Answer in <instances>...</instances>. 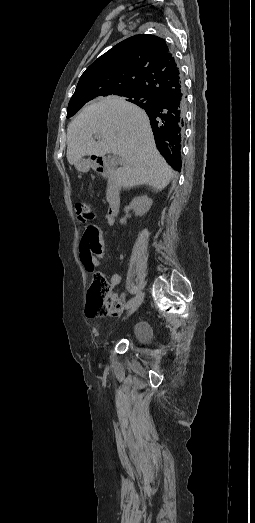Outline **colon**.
Listing matches in <instances>:
<instances>
[{"instance_id": "obj_1", "label": "colon", "mask_w": 255, "mask_h": 523, "mask_svg": "<svg viewBox=\"0 0 255 523\" xmlns=\"http://www.w3.org/2000/svg\"><path fill=\"white\" fill-rule=\"evenodd\" d=\"M75 212L82 224L88 223L93 218L91 208L86 203H77ZM121 308V302L112 293V287L105 275L96 272L88 292L87 314L90 317L104 316L116 312Z\"/></svg>"}]
</instances>
